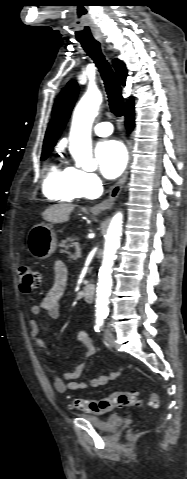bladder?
Masks as SVG:
<instances>
[{
  "instance_id": "obj_1",
  "label": "bladder",
  "mask_w": 187,
  "mask_h": 479,
  "mask_svg": "<svg viewBox=\"0 0 187 479\" xmlns=\"http://www.w3.org/2000/svg\"><path fill=\"white\" fill-rule=\"evenodd\" d=\"M80 418H83L89 421L92 425L98 428L100 431L103 432H112L117 424L113 421L111 417L109 418H98L90 414L79 413L77 414Z\"/></svg>"
}]
</instances>
